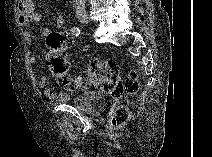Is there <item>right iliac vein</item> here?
I'll return each instance as SVG.
<instances>
[{"instance_id": "1", "label": "right iliac vein", "mask_w": 212, "mask_h": 157, "mask_svg": "<svg viewBox=\"0 0 212 157\" xmlns=\"http://www.w3.org/2000/svg\"><path fill=\"white\" fill-rule=\"evenodd\" d=\"M78 19L80 22H82L83 24H87L90 22V19L88 17V15L86 13H80L78 15Z\"/></svg>"}]
</instances>
